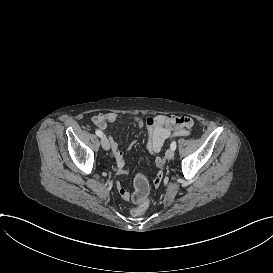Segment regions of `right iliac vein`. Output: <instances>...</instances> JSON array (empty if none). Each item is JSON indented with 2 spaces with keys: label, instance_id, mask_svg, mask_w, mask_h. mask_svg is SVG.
I'll list each match as a JSON object with an SVG mask.
<instances>
[{
  "label": "right iliac vein",
  "instance_id": "1",
  "mask_svg": "<svg viewBox=\"0 0 273 273\" xmlns=\"http://www.w3.org/2000/svg\"><path fill=\"white\" fill-rule=\"evenodd\" d=\"M101 145H102L104 150H109V148H110L109 141L107 140L106 137L101 138Z\"/></svg>",
  "mask_w": 273,
  "mask_h": 273
}]
</instances>
